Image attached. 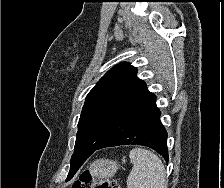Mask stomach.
Returning <instances> with one entry per match:
<instances>
[{
	"label": "stomach",
	"mask_w": 224,
	"mask_h": 188,
	"mask_svg": "<svg viewBox=\"0 0 224 188\" xmlns=\"http://www.w3.org/2000/svg\"><path fill=\"white\" fill-rule=\"evenodd\" d=\"M119 168V163L110 159H97L89 167L90 174L96 178L113 176Z\"/></svg>",
	"instance_id": "1"
}]
</instances>
